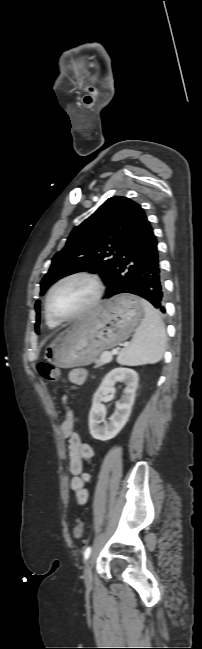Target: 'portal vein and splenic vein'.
<instances>
[{"instance_id":"18ae733b","label":"portal vein and splenic vein","mask_w":202,"mask_h":649,"mask_svg":"<svg viewBox=\"0 0 202 649\" xmlns=\"http://www.w3.org/2000/svg\"><path fill=\"white\" fill-rule=\"evenodd\" d=\"M117 353H118L117 349H113L111 353L110 352H104L101 355V360L103 362H105V363H109L112 360V355L117 354Z\"/></svg>"}]
</instances>
